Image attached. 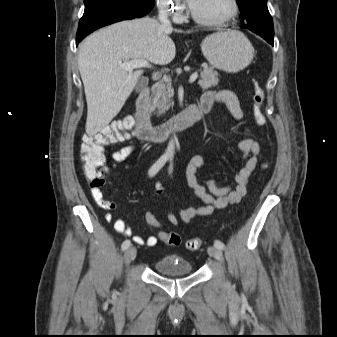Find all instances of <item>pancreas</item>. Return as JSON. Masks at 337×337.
Returning <instances> with one entry per match:
<instances>
[{"mask_svg": "<svg viewBox=\"0 0 337 337\" xmlns=\"http://www.w3.org/2000/svg\"><path fill=\"white\" fill-rule=\"evenodd\" d=\"M203 71L201 72V79L198 84L204 90L214 87L218 84V73L213 67L204 64ZM173 96L171 85L168 81L161 82L154 91L153 96V109L157 108L159 113H164L170 106L169 102Z\"/></svg>", "mask_w": 337, "mask_h": 337, "instance_id": "obj_1", "label": "pancreas"}]
</instances>
